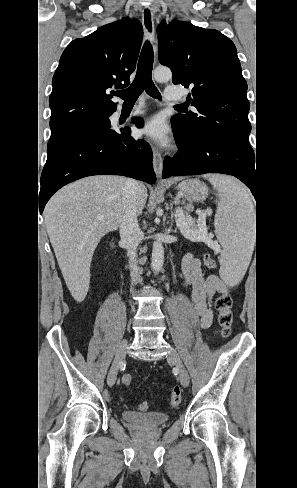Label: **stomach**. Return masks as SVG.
<instances>
[{
    "mask_svg": "<svg viewBox=\"0 0 297 488\" xmlns=\"http://www.w3.org/2000/svg\"><path fill=\"white\" fill-rule=\"evenodd\" d=\"M177 189L187 199L203 202L208 196V187L198 179H186L178 184Z\"/></svg>",
    "mask_w": 297,
    "mask_h": 488,
    "instance_id": "0dacf381",
    "label": "stomach"
}]
</instances>
